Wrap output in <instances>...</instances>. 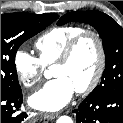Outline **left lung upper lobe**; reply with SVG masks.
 Instances as JSON below:
<instances>
[{"label": "left lung upper lobe", "instance_id": "5c2ea615", "mask_svg": "<svg viewBox=\"0 0 123 123\" xmlns=\"http://www.w3.org/2000/svg\"><path fill=\"white\" fill-rule=\"evenodd\" d=\"M79 21L93 26L102 38L106 66L99 85L91 92L123 89V29L110 16L99 11H74L62 16L58 25Z\"/></svg>", "mask_w": 123, "mask_h": 123}]
</instances>
